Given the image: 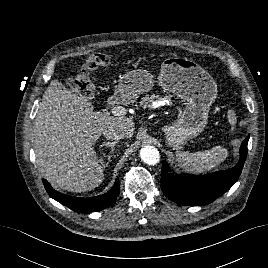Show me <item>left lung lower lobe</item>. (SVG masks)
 <instances>
[{
    "label": "left lung lower lobe",
    "instance_id": "1",
    "mask_svg": "<svg viewBox=\"0 0 268 268\" xmlns=\"http://www.w3.org/2000/svg\"><path fill=\"white\" fill-rule=\"evenodd\" d=\"M249 136L240 147V160L233 168L206 175H173L169 165L162 161L161 188L163 194L181 205L209 204L229 190L241 174L246 156Z\"/></svg>",
    "mask_w": 268,
    "mask_h": 268
}]
</instances>
